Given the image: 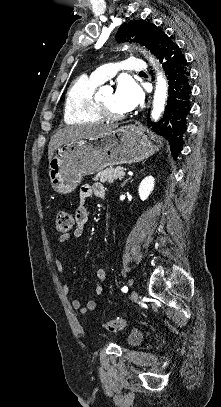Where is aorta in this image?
<instances>
[{
	"label": "aorta",
	"instance_id": "1",
	"mask_svg": "<svg viewBox=\"0 0 221 407\" xmlns=\"http://www.w3.org/2000/svg\"><path fill=\"white\" fill-rule=\"evenodd\" d=\"M152 61V60H151ZM106 88L102 87L100 88L99 92L97 93V96H101L105 92ZM167 91H168V86L167 82L162 76L161 73L157 74V82H156V90L154 94V101H153V109L151 112L152 118L157 121L161 113L164 110L166 99H167Z\"/></svg>",
	"mask_w": 221,
	"mask_h": 407
}]
</instances>
